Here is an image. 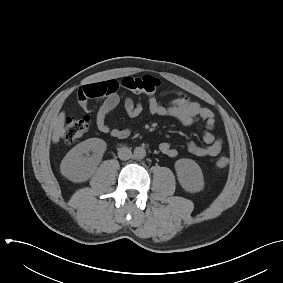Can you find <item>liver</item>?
Here are the masks:
<instances>
[{
  "instance_id": "1",
  "label": "liver",
  "mask_w": 283,
  "mask_h": 283,
  "mask_svg": "<svg viewBox=\"0 0 283 283\" xmlns=\"http://www.w3.org/2000/svg\"><path fill=\"white\" fill-rule=\"evenodd\" d=\"M65 113L61 112L53 121V143H58L60 138L65 135Z\"/></svg>"
}]
</instances>
